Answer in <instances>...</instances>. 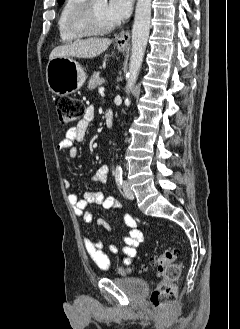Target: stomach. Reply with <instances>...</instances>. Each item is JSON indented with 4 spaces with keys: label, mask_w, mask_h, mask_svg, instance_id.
<instances>
[{
    "label": "stomach",
    "mask_w": 240,
    "mask_h": 329,
    "mask_svg": "<svg viewBox=\"0 0 240 329\" xmlns=\"http://www.w3.org/2000/svg\"><path fill=\"white\" fill-rule=\"evenodd\" d=\"M119 51L125 46L117 45ZM49 90L58 96L72 94L79 90L86 80L82 67L72 57H56L49 60L46 68Z\"/></svg>",
    "instance_id": "obj_1"
}]
</instances>
